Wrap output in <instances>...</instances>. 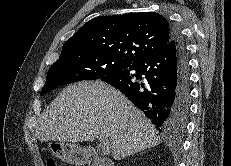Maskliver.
<instances>
[{"mask_svg": "<svg viewBox=\"0 0 231 166\" xmlns=\"http://www.w3.org/2000/svg\"><path fill=\"white\" fill-rule=\"evenodd\" d=\"M99 135L109 139L115 160L161 143L144 113L101 80L67 86L42 113L36 128L40 141L75 143Z\"/></svg>", "mask_w": 231, "mask_h": 166, "instance_id": "6515ba94", "label": "liver"}]
</instances>
